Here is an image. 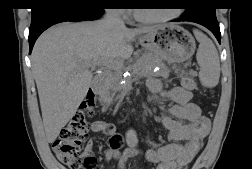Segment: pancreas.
<instances>
[{
	"mask_svg": "<svg viewBox=\"0 0 252 169\" xmlns=\"http://www.w3.org/2000/svg\"><path fill=\"white\" fill-rule=\"evenodd\" d=\"M159 66L161 70L158 72H154L153 69ZM126 70L131 71V78L136 77H150L153 76H161L163 78L169 77V69L166 67L161 59L154 54H145L139 60L135 62V64L130 65L128 67H122L121 69L114 72L112 75L105 79V86L108 89L114 87V85L121 79L122 73Z\"/></svg>",
	"mask_w": 252,
	"mask_h": 169,
	"instance_id": "pancreas-1",
	"label": "pancreas"
}]
</instances>
